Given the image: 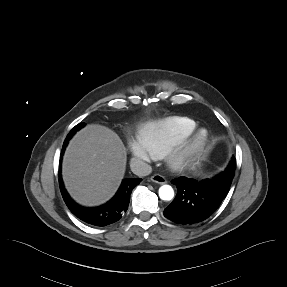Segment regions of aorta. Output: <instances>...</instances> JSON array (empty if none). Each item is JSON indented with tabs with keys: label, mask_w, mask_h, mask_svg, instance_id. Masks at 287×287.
Segmentation results:
<instances>
[{
	"label": "aorta",
	"mask_w": 287,
	"mask_h": 287,
	"mask_svg": "<svg viewBox=\"0 0 287 287\" xmlns=\"http://www.w3.org/2000/svg\"><path fill=\"white\" fill-rule=\"evenodd\" d=\"M159 197L164 201H170L174 197V190L170 185H162L159 188Z\"/></svg>",
	"instance_id": "762f6f07"
}]
</instances>
